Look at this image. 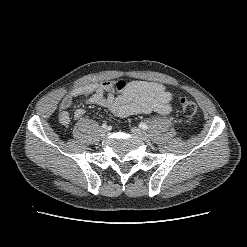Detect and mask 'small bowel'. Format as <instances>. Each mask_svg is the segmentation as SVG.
<instances>
[{
	"label": "small bowel",
	"instance_id": "small-bowel-1",
	"mask_svg": "<svg viewBox=\"0 0 247 247\" xmlns=\"http://www.w3.org/2000/svg\"><path fill=\"white\" fill-rule=\"evenodd\" d=\"M173 98L174 94L157 82L118 80L89 83L72 89L62 99L58 119L60 124L68 125L71 120L69 109L77 101L106 108L118 118L151 112L170 114ZM84 115L82 108L73 114L75 119Z\"/></svg>",
	"mask_w": 247,
	"mask_h": 247
}]
</instances>
